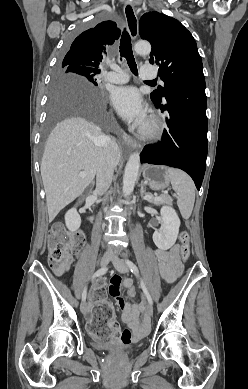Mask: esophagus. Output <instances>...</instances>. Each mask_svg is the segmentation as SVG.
Masks as SVG:
<instances>
[{"label":"esophagus","instance_id":"obj_1","mask_svg":"<svg viewBox=\"0 0 248 389\" xmlns=\"http://www.w3.org/2000/svg\"><path fill=\"white\" fill-rule=\"evenodd\" d=\"M124 15H125L128 31L132 39H136L138 35V20L132 3L130 2L125 3ZM125 139L131 149H136L139 147L137 141L133 139L131 136L125 134Z\"/></svg>","mask_w":248,"mask_h":389}]
</instances>
